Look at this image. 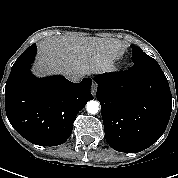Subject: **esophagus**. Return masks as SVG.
<instances>
[{
  "label": "esophagus",
  "instance_id": "34e87169",
  "mask_svg": "<svg viewBox=\"0 0 178 178\" xmlns=\"http://www.w3.org/2000/svg\"><path fill=\"white\" fill-rule=\"evenodd\" d=\"M96 91H97V84L93 83L92 87H91V93H92L93 96L96 95Z\"/></svg>",
  "mask_w": 178,
  "mask_h": 178
}]
</instances>
